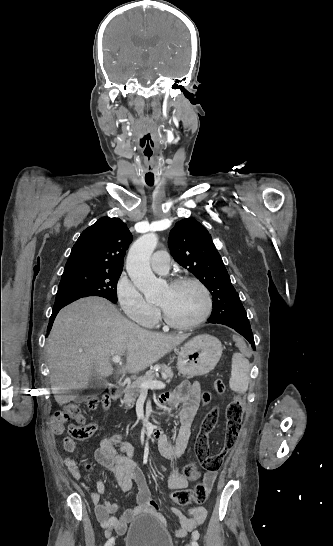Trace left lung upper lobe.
Here are the masks:
<instances>
[{
	"instance_id": "5c2ea615",
	"label": "left lung upper lobe",
	"mask_w": 333,
	"mask_h": 546,
	"mask_svg": "<svg viewBox=\"0 0 333 546\" xmlns=\"http://www.w3.org/2000/svg\"><path fill=\"white\" fill-rule=\"evenodd\" d=\"M170 253L210 291L213 310L209 319L232 323L247 316L238 293L206 228L192 218L176 223L168 240Z\"/></svg>"
}]
</instances>
